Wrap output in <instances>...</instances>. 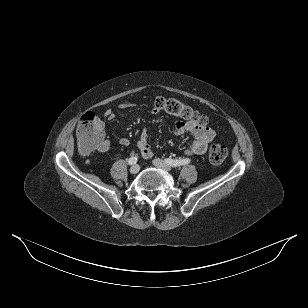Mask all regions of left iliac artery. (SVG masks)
<instances>
[{"label": "left iliac artery", "instance_id": "left-iliac-artery-1", "mask_svg": "<svg viewBox=\"0 0 308 308\" xmlns=\"http://www.w3.org/2000/svg\"><path fill=\"white\" fill-rule=\"evenodd\" d=\"M165 162L172 166V167H179L182 165H187L190 163V159H181V160H175V159H165Z\"/></svg>", "mask_w": 308, "mask_h": 308}]
</instances>
